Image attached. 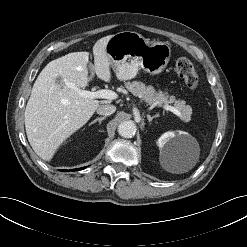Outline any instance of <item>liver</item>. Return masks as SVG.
Returning a JSON list of instances; mask_svg holds the SVG:
<instances>
[{"label":"liver","mask_w":247,"mask_h":247,"mask_svg":"<svg viewBox=\"0 0 247 247\" xmlns=\"http://www.w3.org/2000/svg\"><path fill=\"white\" fill-rule=\"evenodd\" d=\"M113 35L99 39L93 46L94 71L98 78L111 80L106 52ZM88 52H73L49 62L38 75L25 109V129L35 153L50 161L59 146L92 117L99 104L110 100L81 97L71 85L85 88L88 76Z\"/></svg>","instance_id":"6515ba94"}]
</instances>
